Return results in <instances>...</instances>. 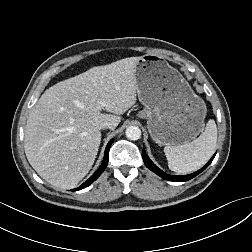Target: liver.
I'll return each instance as SVG.
<instances>
[{"label":"liver","instance_id":"1","mask_svg":"<svg viewBox=\"0 0 252 252\" xmlns=\"http://www.w3.org/2000/svg\"><path fill=\"white\" fill-rule=\"evenodd\" d=\"M139 58L96 66L58 82L33 106L25 129V154L46 182L72 189L86 176L100 146V124L108 121L115 129L119 115L136 103Z\"/></svg>","mask_w":252,"mask_h":252}]
</instances>
